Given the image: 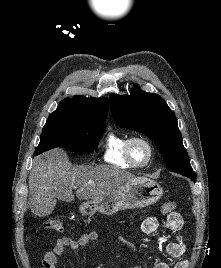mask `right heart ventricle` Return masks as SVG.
<instances>
[{"label":"right heart ventricle","mask_w":221,"mask_h":268,"mask_svg":"<svg viewBox=\"0 0 221 268\" xmlns=\"http://www.w3.org/2000/svg\"><path fill=\"white\" fill-rule=\"evenodd\" d=\"M127 135L111 132L107 135L104 148V161L121 168L133 167L125 156Z\"/></svg>","instance_id":"1"}]
</instances>
